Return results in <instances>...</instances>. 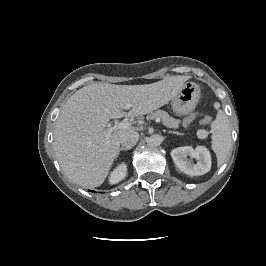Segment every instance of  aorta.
<instances>
[{
    "mask_svg": "<svg viewBox=\"0 0 266 266\" xmlns=\"http://www.w3.org/2000/svg\"><path fill=\"white\" fill-rule=\"evenodd\" d=\"M147 143L150 146H159L162 143V137L160 135L154 134L148 138Z\"/></svg>",
    "mask_w": 266,
    "mask_h": 266,
    "instance_id": "aorta-1",
    "label": "aorta"
}]
</instances>
